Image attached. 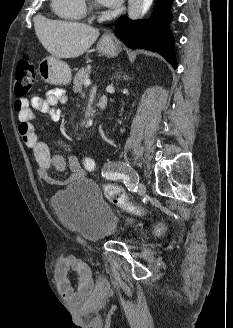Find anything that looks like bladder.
<instances>
[{
	"mask_svg": "<svg viewBox=\"0 0 233 328\" xmlns=\"http://www.w3.org/2000/svg\"><path fill=\"white\" fill-rule=\"evenodd\" d=\"M51 204L60 219L85 240L97 242L116 233L117 216L91 180L74 181L55 193Z\"/></svg>",
	"mask_w": 233,
	"mask_h": 328,
	"instance_id": "1",
	"label": "bladder"
}]
</instances>
